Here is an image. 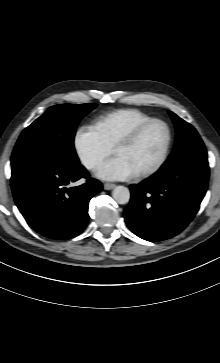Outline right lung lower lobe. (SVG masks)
<instances>
[{
	"label": "right lung lower lobe",
	"instance_id": "98d812e1",
	"mask_svg": "<svg viewBox=\"0 0 220 363\" xmlns=\"http://www.w3.org/2000/svg\"><path fill=\"white\" fill-rule=\"evenodd\" d=\"M86 178V183L66 188ZM11 186L17 207L31 228L51 239H70L88 221V203L102 190L82 166L65 167L52 162H34L12 172Z\"/></svg>",
	"mask_w": 220,
	"mask_h": 363
}]
</instances>
